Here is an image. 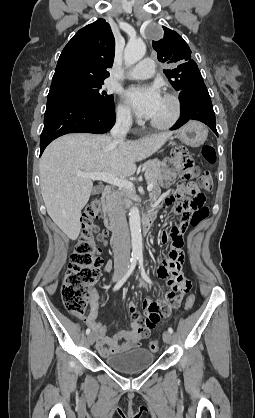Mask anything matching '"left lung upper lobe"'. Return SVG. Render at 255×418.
<instances>
[{
    "instance_id": "5c2ea615",
    "label": "left lung upper lobe",
    "mask_w": 255,
    "mask_h": 418,
    "mask_svg": "<svg viewBox=\"0 0 255 418\" xmlns=\"http://www.w3.org/2000/svg\"><path fill=\"white\" fill-rule=\"evenodd\" d=\"M164 36L161 40L152 41L160 62L171 65L163 70L170 83L178 91L187 89L203 78L197 64L191 59V50L184 39L175 31L163 27Z\"/></svg>"
}]
</instances>
